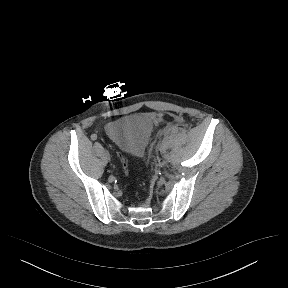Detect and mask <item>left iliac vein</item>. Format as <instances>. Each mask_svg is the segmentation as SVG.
Instances as JSON below:
<instances>
[{
    "label": "left iliac vein",
    "instance_id": "left-iliac-vein-1",
    "mask_svg": "<svg viewBox=\"0 0 288 288\" xmlns=\"http://www.w3.org/2000/svg\"><path fill=\"white\" fill-rule=\"evenodd\" d=\"M162 157H163V158H165V157H166V152H165V150H164V149L162 150Z\"/></svg>",
    "mask_w": 288,
    "mask_h": 288
}]
</instances>
